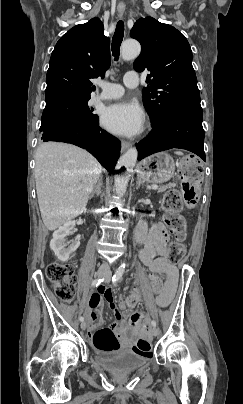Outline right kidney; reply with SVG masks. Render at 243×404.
I'll return each instance as SVG.
<instances>
[{
  "instance_id": "obj_1",
  "label": "right kidney",
  "mask_w": 243,
  "mask_h": 404,
  "mask_svg": "<svg viewBox=\"0 0 243 404\" xmlns=\"http://www.w3.org/2000/svg\"><path fill=\"white\" fill-rule=\"evenodd\" d=\"M74 226L75 222H66V224L60 226L59 230L53 232L50 248L61 262H67L70 254L80 246L79 240H72L71 244H65L66 236H69L70 232H75Z\"/></svg>"
}]
</instances>
